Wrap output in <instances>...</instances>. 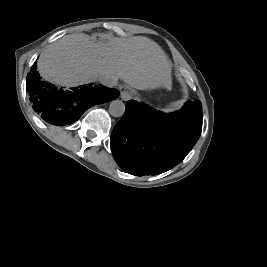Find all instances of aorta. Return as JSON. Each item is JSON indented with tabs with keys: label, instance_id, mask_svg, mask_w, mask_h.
Segmentation results:
<instances>
[{
	"label": "aorta",
	"instance_id": "762f6f07",
	"mask_svg": "<svg viewBox=\"0 0 267 267\" xmlns=\"http://www.w3.org/2000/svg\"><path fill=\"white\" fill-rule=\"evenodd\" d=\"M125 112V104L121 100H113L109 105V113L114 117H121Z\"/></svg>",
	"mask_w": 267,
	"mask_h": 267
}]
</instances>
